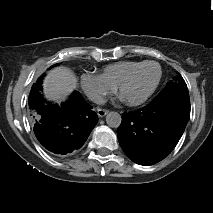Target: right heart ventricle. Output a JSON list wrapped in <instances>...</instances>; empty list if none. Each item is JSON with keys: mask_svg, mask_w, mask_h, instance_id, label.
I'll return each instance as SVG.
<instances>
[{"mask_svg": "<svg viewBox=\"0 0 213 213\" xmlns=\"http://www.w3.org/2000/svg\"><path fill=\"white\" fill-rule=\"evenodd\" d=\"M139 63L138 61H118L103 67L100 76L116 88L120 80Z\"/></svg>", "mask_w": 213, "mask_h": 213, "instance_id": "1", "label": "right heart ventricle"}]
</instances>
